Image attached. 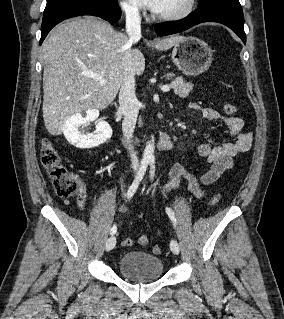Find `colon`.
<instances>
[{"label":"colon","mask_w":284,"mask_h":319,"mask_svg":"<svg viewBox=\"0 0 284 319\" xmlns=\"http://www.w3.org/2000/svg\"><path fill=\"white\" fill-rule=\"evenodd\" d=\"M223 110L226 114L232 115L236 112V107L233 104L226 103L223 105ZM40 160L45 167L53 188L58 196L61 198H70L78 194L82 188L80 179L68 172L66 167L62 164L60 154L52 142L48 139H44L41 143ZM221 199V194L216 193L210 200L211 206H216ZM138 242L142 246L149 244V239L146 235H141ZM123 246H131L132 240L126 238L122 241ZM154 254H160L161 248L158 245H154L152 248Z\"/></svg>","instance_id":"obj_1"}]
</instances>
